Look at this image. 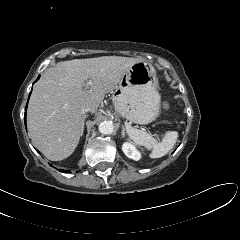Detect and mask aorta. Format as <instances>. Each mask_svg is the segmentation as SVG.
Listing matches in <instances>:
<instances>
[{
  "instance_id": "obj_1",
  "label": "aorta",
  "mask_w": 240,
  "mask_h": 240,
  "mask_svg": "<svg viewBox=\"0 0 240 240\" xmlns=\"http://www.w3.org/2000/svg\"><path fill=\"white\" fill-rule=\"evenodd\" d=\"M99 131L102 134H112V132L114 131V125L112 123V121H103L99 124Z\"/></svg>"
}]
</instances>
